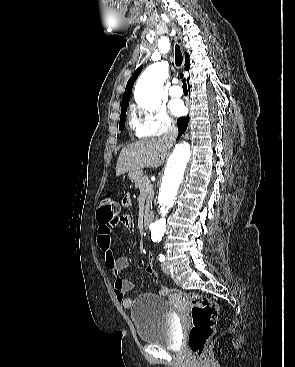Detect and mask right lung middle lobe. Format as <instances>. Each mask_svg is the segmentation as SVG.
<instances>
[{
  "mask_svg": "<svg viewBox=\"0 0 295 367\" xmlns=\"http://www.w3.org/2000/svg\"><path fill=\"white\" fill-rule=\"evenodd\" d=\"M128 104H124L121 107V115H120V122H119V130H123L124 129V125H125V115H126V110L128 107Z\"/></svg>",
  "mask_w": 295,
  "mask_h": 367,
  "instance_id": "dd1d6c3e",
  "label": "right lung middle lobe"
}]
</instances>
